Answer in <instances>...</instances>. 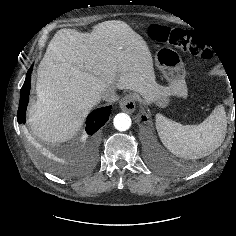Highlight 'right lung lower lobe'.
<instances>
[{"label": "right lung lower lobe", "mask_w": 236, "mask_h": 236, "mask_svg": "<svg viewBox=\"0 0 236 236\" xmlns=\"http://www.w3.org/2000/svg\"><path fill=\"white\" fill-rule=\"evenodd\" d=\"M33 65L27 72L25 82L21 88L20 93V101H19V108H18V122L25 123V114L26 108L29 100V92H30V80H31V72H32ZM111 106L103 107L97 109L89 114L86 121V128L85 131L87 136L85 138L86 146H93L95 133L108 121L110 116Z\"/></svg>", "instance_id": "right-lung-lower-lobe-1"}]
</instances>
